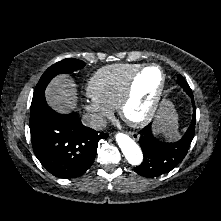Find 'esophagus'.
I'll return each mask as SVG.
<instances>
[{
	"label": "esophagus",
	"instance_id": "1",
	"mask_svg": "<svg viewBox=\"0 0 221 221\" xmlns=\"http://www.w3.org/2000/svg\"><path fill=\"white\" fill-rule=\"evenodd\" d=\"M128 134L136 141L139 140V135L137 133L128 132Z\"/></svg>",
	"mask_w": 221,
	"mask_h": 221
}]
</instances>
